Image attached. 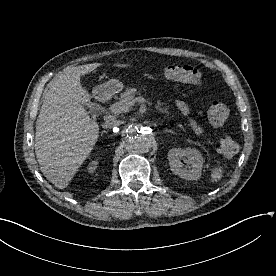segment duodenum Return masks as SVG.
<instances>
[{
    "label": "duodenum",
    "mask_w": 276,
    "mask_h": 276,
    "mask_svg": "<svg viewBox=\"0 0 276 276\" xmlns=\"http://www.w3.org/2000/svg\"><path fill=\"white\" fill-rule=\"evenodd\" d=\"M98 99H99L100 101H104V100H106V96H105L104 94H100V95L98 96Z\"/></svg>",
    "instance_id": "410a0bca"
}]
</instances>
